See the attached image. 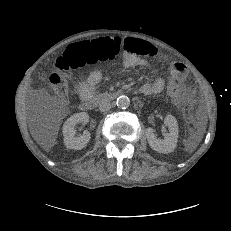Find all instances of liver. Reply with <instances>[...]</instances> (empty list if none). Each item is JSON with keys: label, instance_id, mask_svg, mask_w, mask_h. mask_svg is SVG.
Instances as JSON below:
<instances>
[{"label": "liver", "instance_id": "obj_1", "mask_svg": "<svg viewBox=\"0 0 231 231\" xmlns=\"http://www.w3.org/2000/svg\"><path fill=\"white\" fill-rule=\"evenodd\" d=\"M54 144V139H50L48 141H41L40 145L45 149H50L52 145Z\"/></svg>", "mask_w": 231, "mask_h": 231}]
</instances>
